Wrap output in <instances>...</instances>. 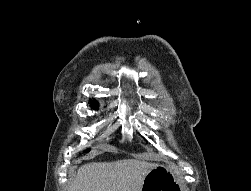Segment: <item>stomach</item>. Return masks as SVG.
<instances>
[{
  "mask_svg": "<svg viewBox=\"0 0 251 191\" xmlns=\"http://www.w3.org/2000/svg\"><path fill=\"white\" fill-rule=\"evenodd\" d=\"M142 191H180L174 171L165 165H155L146 173Z\"/></svg>",
  "mask_w": 251,
  "mask_h": 191,
  "instance_id": "obj_1",
  "label": "stomach"
}]
</instances>
